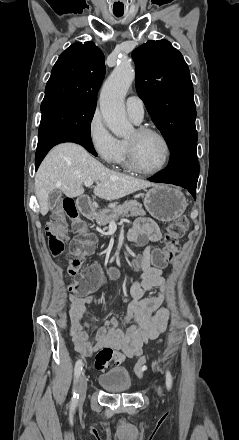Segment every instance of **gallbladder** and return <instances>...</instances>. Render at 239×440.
<instances>
[{
	"mask_svg": "<svg viewBox=\"0 0 239 440\" xmlns=\"http://www.w3.org/2000/svg\"><path fill=\"white\" fill-rule=\"evenodd\" d=\"M62 196V192L60 190H53L48 194V208L49 210H54L55 206H57V202H59Z\"/></svg>",
	"mask_w": 239,
	"mask_h": 440,
	"instance_id": "1",
	"label": "gallbladder"
}]
</instances>
